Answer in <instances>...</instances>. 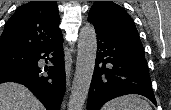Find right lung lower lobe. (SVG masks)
I'll use <instances>...</instances> for the list:
<instances>
[{
	"label": "right lung lower lobe",
	"mask_w": 171,
	"mask_h": 110,
	"mask_svg": "<svg viewBox=\"0 0 171 110\" xmlns=\"http://www.w3.org/2000/svg\"><path fill=\"white\" fill-rule=\"evenodd\" d=\"M61 43L62 37L33 52V60L26 66L0 71V83L23 84L43 103L47 110H59L66 88L63 67L64 52ZM40 59L49 60L50 65L45 67L39 65Z\"/></svg>",
	"instance_id": "right-lung-lower-lobe-1"
}]
</instances>
